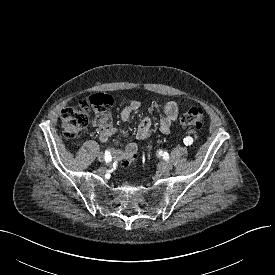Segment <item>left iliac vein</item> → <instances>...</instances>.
Masks as SVG:
<instances>
[{
  "mask_svg": "<svg viewBox=\"0 0 275 275\" xmlns=\"http://www.w3.org/2000/svg\"><path fill=\"white\" fill-rule=\"evenodd\" d=\"M172 166L170 161H163L159 164L158 168L161 173L166 174L172 169Z\"/></svg>",
  "mask_w": 275,
  "mask_h": 275,
  "instance_id": "left-iliac-vein-1",
  "label": "left iliac vein"
}]
</instances>
